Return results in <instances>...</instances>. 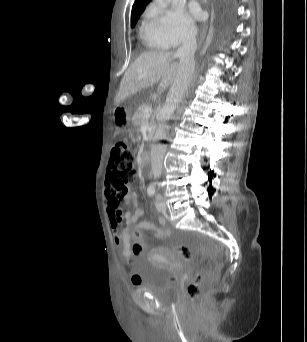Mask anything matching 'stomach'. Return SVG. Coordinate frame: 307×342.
<instances>
[{
	"label": "stomach",
	"instance_id": "0dacf381",
	"mask_svg": "<svg viewBox=\"0 0 307 342\" xmlns=\"http://www.w3.org/2000/svg\"><path fill=\"white\" fill-rule=\"evenodd\" d=\"M114 119H115L116 123L121 125V126L128 125V123L130 121L129 112L125 109L117 107L114 110Z\"/></svg>",
	"mask_w": 307,
	"mask_h": 342
}]
</instances>
